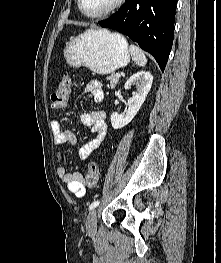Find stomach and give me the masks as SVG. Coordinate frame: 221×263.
Returning <instances> with one entry per match:
<instances>
[{
	"mask_svg": "<svg viewBox=\"0 0 221 263\" xmlns=\"http://www.w3.org/2000/svg\"><path fill=\"white\" fill-rule=\"evenodd\" d=\"M64 57L70 66H85L101 75L113 73L130 61L126 39L106 29L88 30L71 40Z\"/></svg>",
	"mask_w": 221,
	"mask_h": 263,
	"instance_id": "0dacf381",
	"label": "stomach"
}]
</instances>
